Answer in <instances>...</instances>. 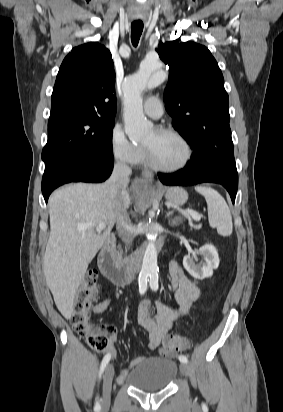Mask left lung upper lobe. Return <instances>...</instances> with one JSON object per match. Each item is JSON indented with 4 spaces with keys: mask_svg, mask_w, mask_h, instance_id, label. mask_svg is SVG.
Instances as JSON below:
<instances>
[{
    "mask_svg": "<svg viewBox=\"0 0 283 412\" xmlns=\"http://www.w3.org/2000/svg\"><path fill=\"white\" fill-rule=\"evenodd\" d=\"M160 58L169 66L164 94L174 128L195 151L203 148L230 161V179L238 184L224 79L210 51L193 42L160 43Z\"/></svg>",
    "mask_w": 283,
    "mask_h": 412,
    "instance_id": "left-lung-upper-lobe-1",
    "label": "left lung upper lobe"
}]
</instances>
